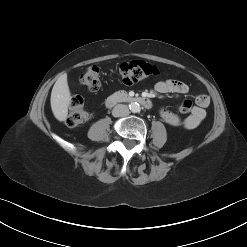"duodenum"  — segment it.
<instances>
[{
    "label": "duodenum",
    "instance_id": "obj_1",
    "mask_svg": "<svg viewBox=\"0 0 247 247\" xmlns=\"http://www.w3.org/2000/svg\"><path fill=\"white\" fill-rule=\"evenodd\" d=\"M119 102L138 103V104L143 105L145 107H149L151 105L150 100H148L146 98L128 96V95L121 93V92H117V93L112 94L106 100V104L108 106H113Z\"/></svg>",
    "mask_w": 247,
    "mask_h": 247
}]
</instances>
